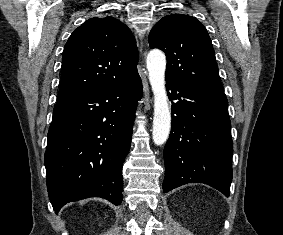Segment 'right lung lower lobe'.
<instances>
[{
	"label": "right lung lower lobe",
	"mask_w": 283,
	"mask_h": 235,
	"mask_svg": "<svg viewBox=\"0 0 283 235\" xmlns=\"http://www.w3.org/2000/svg\"><path fill=\"white\" fill-rule=\"evenodd\" d=\"M141 93L136 73L56 103L45 152L47 189L56 214L64 204L88 197L122 203V165Z\"/></svg>",
	"instance_id": "1"
}]
</instances>
